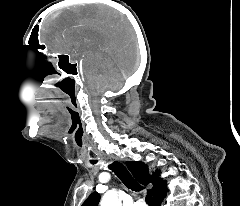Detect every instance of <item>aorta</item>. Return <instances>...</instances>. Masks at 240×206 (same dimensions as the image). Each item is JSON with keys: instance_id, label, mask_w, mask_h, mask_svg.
Masks as SVG:
<instances>
[{"instance_id": "762f6f07", "label": "aorta", "mask_w": 240, "mask_h": 206, "mask_svg": "<svg viewBox=\"0 0 240 206\" xmlns=\"http://www.w3.org/2000/svg\"><path fill=\"white\" fill-rule=\"evenodd\" d=\"M100 206H121V202L114 190L105 193L101 199Z\"/></svg>"}]
</instances>
